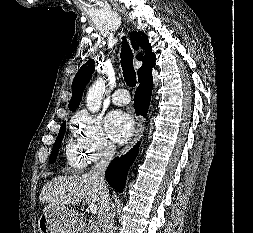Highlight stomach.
Segmentation results:
<instances>
[{
  "instance_id": "obj_1",
  "label": "stomach",
  "mask_w": 253,
  "mask_h": 233,
  "mask_svg": "<svg viewBox=\"0 0 253 233\" xmlns=\"http://www.w3.org/2000/svg\"><path fill=\"white\" fill-rule=\"evenodd\" d=\"M77 217L64 205L48 204L38 220L40 233H78Z\"/></svg>"
}]
</instances>
